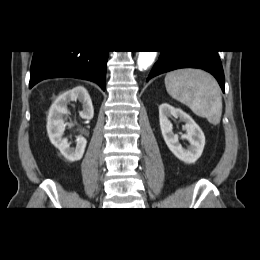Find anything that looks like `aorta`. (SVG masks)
Here are the masks:
<instances>
[{
    "mask_svg": "<svg viewBox=\"0 0 260 260\" xmlns=\"http://www.w3.org/2000/svg\"><path fill=\"white\" fill-rule=\"evenodd\" d=\"M156 55V51H140L137 59L138 68L144 70L150 67L154 62Z\"/></svg>",
    "mask_w": 260,
    "mask_h": 260,
    "instance_id": "762f6f07",
    "label": "aorta"
}]
</instances>
